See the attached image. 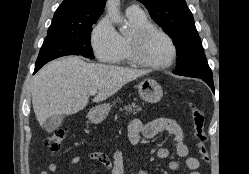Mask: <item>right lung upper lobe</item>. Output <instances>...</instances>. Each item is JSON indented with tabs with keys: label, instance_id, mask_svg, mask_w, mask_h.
<instances>
[{
	"label": "right lung upper lobe",
	"instance_id": "obj_1",
	"mask_svg": "<svg viewBox=\"0 0 249 174\" xmlns=\"http://www.w3.org/2000/svg\"><path fill=\"white\" fill-rule=\"evenodd\" d=\"M106 0H64L48 30L76 27L97 20Z\"/></svg>",
	"mask_w": 249,
	"mask_h": 174
}]
</instances>
